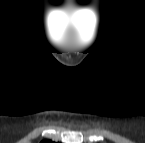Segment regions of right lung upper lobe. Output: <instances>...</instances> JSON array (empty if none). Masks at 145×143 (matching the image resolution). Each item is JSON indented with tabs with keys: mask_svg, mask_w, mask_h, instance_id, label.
Instances as JSON below:
<instances>
[{
	"mask_svg": "<svg viewBox=\"0 0 145 143\" xmlns=\"http://www.w3.org/2000/svg\"><path fill=\"white\" fill-rule=\"evenodd\" d=\"M51 141H48V140H45V141H42L41 143H50Z\"/></svg>",
	"mask_w": 145,
	"mask_h": 143,
	"instance_id": "obj_1",
	"label": "right lung upper lobe"
}]
</instances>
